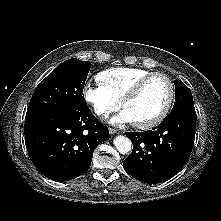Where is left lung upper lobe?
Masks as SVG:
<instances>
[{"mask_svg": "<svg viewBox=\"0 0 221 221\" xmlns=\"http://www.w3.org/2000/svg\"><path fill=\"white\" fill-rule=\"evenodd\" d=\"M175 103L171 112L195 111L190 89L180 80L175 82Z\"/></svg>", "mask_w": 221, "mask_h": 221, "instance_id": "5c2ea615", "label": "left lung upper lobe"}]
</instances>
